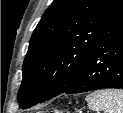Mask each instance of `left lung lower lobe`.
<instances>
[{"instance_id":"left-lung-lower-lobe-1","label":"left lung lower lobe","mask_w":123,"mask_h":113,"mask_svg":"<svg viewBox=\"0 0 123 113\" xmlns=\"http://www.w3.org/2000/svg\"><path fill=\"white\" fill-rule=\"evenodd\" d=\"M123 88V0L102 25L77 80L64 93Z\"/></svg>"}]
</instances>
